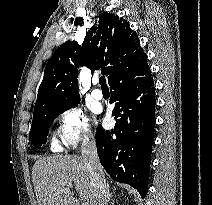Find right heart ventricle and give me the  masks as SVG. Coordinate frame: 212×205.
<instances>
[{"label":"right heart ventricle","instance_id":"e07e8e85","mask_svg":"<svg viewBox=\"0 0 212 205\" xmlns=\"http://www.w3.org/2000/svg\"><path fill=\"white\" fill-rule=\"evenodd\" d=\"M51 148L54 149V150H57L59 148V145L56 141H53L52 144H51Z\"/></svg>","mask_w":212,"mask_h":205}]
</instances>
